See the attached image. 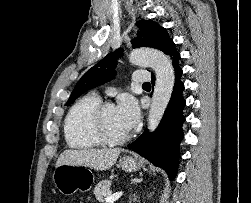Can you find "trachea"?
I'll list each match as a JSON object with an SVG mask.
<instances>
[{"label":"trachea","instance_id":"obj_1","mask_svg":"<svg viewBox=\"0 0 251 203\" xmlns=\"http://www.w3.org/2000/svg\"><path fill=\"white\" fill-rule=\"evenodd\" d=\"M143 86H150V83L149 82L144 83Z\"/></svg>","mask_w":251,"mask_h":203}]
</instances>
